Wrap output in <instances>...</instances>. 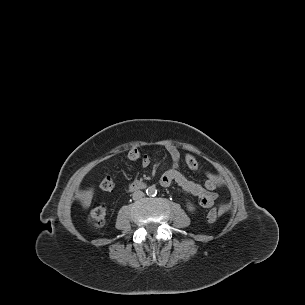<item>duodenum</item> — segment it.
<instances>
[{
    "label": "duodenum",
    "instance_id": "obj_1",
    "mask_svg": "<svg viewBox=\"0 0 305 305\" xmlns=\"http://www.w3.org/2000/svg\"><path fill=\"white\" fill-rule=\"evenodd\" d=\"M147 184L145 181L142 180H134L130 183L129 189L131 191H136V190H142L146 188Z\"/></svg>",
    "mask_w": 305,
    "mask_h": 305
}]
</instances>
